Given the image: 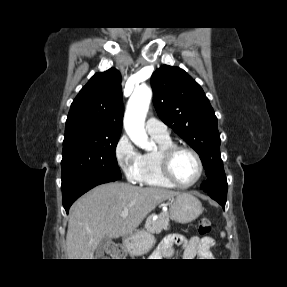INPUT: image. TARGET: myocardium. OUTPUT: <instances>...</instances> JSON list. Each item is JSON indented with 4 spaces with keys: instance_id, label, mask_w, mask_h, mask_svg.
<instances>
[{
    "instance_id": "1",
    "label": "myocardium",
    "mask_w": 287,
    "mask_h": 287,
    "mask_svg": "<svg viewBox=\"0 0 287 287\" xmlns=\"http://www.w3.org/2000/svg\"><path fill=\"white\" fill-rule=\"evenodd\" d=\"M180 151H187L191 153L195 157L199 167V172L195 180L187 184L179 182L173 173V158ZM159 162L165 178L179 188H190L195 186L201 180L204 173V164L199 153L194 148L185 145L173 144L169 147L161 149L159 152Z\"/></svg>"
}]
</instances>
